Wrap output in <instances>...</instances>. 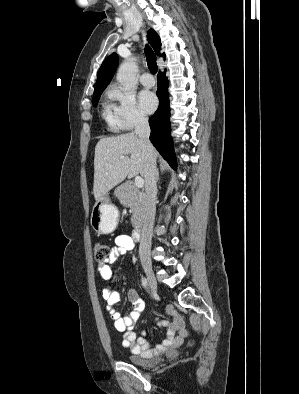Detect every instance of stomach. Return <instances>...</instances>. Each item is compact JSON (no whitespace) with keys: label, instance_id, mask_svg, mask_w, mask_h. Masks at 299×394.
<instances>
[{"label":"stomach","instance_id":"0dacf381","mask_svg":"<svg viewBox=\"0 0 299 394\" xmlns=\"http://www.w3.org/2000/svg\"><path fill=\"white\" fill-rule=\"evenodd\" d=\"M119 221V211L107 197L96 201L91 212V226L101 234L113 232Z\"/></svg>","mask_w":299,"mask_h":394}]
</instances>
